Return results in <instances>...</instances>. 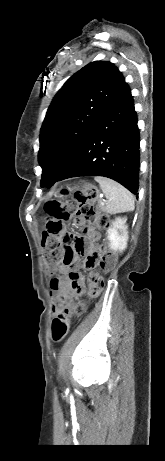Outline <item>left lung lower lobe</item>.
Wrapping results in <instances>:
<instances>
[{
    "instance_id": "obj_1",
    "label": "left lung lower lobe",
    "mask_w": 165,
    "mask_h": 461,
    "mask_svg": "<svg viewBox=\"0 0 165 461\" xmlns=\"http://www.w3.org/2000/svg\"><path fill=\"white\" fill-rule=\"evenodd\" d=\"M139 142L133 97L124 83L55 182L79 176H104L137 194Z\"/></svg>"
}]
</instances>
